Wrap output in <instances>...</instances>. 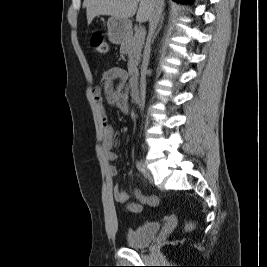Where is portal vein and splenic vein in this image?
<instances>
[{"mask_svg":"<svg viewBox=\"0 0 267 267\" xmlns=\"http://www.w3.org/2000/svg\"><path fill=\"white\" fill-rule=\"evenodd\" d=\"M145 34H146V32H145V29L143 28V27H140V29L136 32V37L138 38V39H144V37H145Z\"/></svg>","mask_w":267,"mask_h":267,"instance_id":"1","label":"portal vein and splenic vein"}]
</instances>
